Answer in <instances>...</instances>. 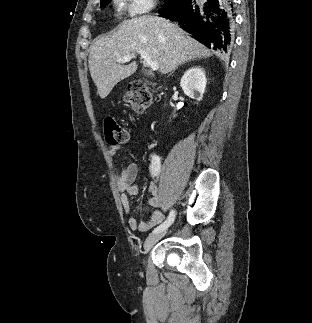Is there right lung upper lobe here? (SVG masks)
I'll return each instance as SVG.
<instances>
[{
	"instance_id": "cb5924a9",
	"label": "right lung upper lobe",
	"mask_w": 312,
	"mask_h": 323,
	"mask_svg": "<svg viewBox=\"0 0 312 323\" xmlns=\"http://www.w3.org/2000/svg\"><path fill=\"white\" fill-rule=\"evenodd\" d=\"M106 1H107V0H101V4H102V3H105Z\"/></svg>"
}]
</instances>
